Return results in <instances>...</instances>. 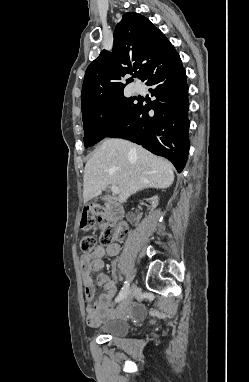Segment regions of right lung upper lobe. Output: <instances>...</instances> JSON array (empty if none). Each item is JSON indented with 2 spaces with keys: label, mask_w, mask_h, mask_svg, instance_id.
<instances>
[{
  "label": "right lung upper lobe",
  "mask_w": 249,
  "mask_h": 382,
  "mask_svg": "<svg viewBox=\"0 0 249 382\" xmlns=\"http://www.w3.org/2000/svg\"><path fill=\"white\" fill-rule=\"evenodd\" d=\"M176 54L173 45L149 19L138 13H125L115 28L112 52L103 50L86 70L82 108L95 100L122 95L125 85L118 82L121 77L139 69V77L145 81L154 68Z\"/></svg>",
  "instance_id": "1"
}]
</instances>
